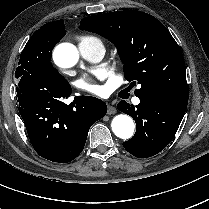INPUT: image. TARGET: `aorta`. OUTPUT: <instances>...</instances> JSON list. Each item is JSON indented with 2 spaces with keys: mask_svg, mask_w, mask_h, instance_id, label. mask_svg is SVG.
<instances>
[{
  "mask_svg": "<svg viewBox=\"0 0 209 209\" xmlns=\"http://www.w3.org/2000/svg\"><path fill=\"white\" fill-rule=\"evenodd\" d=\"M54 62L62 68L76 65L79 54L76 47L70 43L59 44L53 53ZM112 131L121 139H129L135 131L133 119L125 114L116 115L111 122Z\"/></svg>",
  "mask_w": 209,
  "mask_h": 209,
  "instance_id": "aorta-1",
  "label": "aorta"
}]
</instances>
